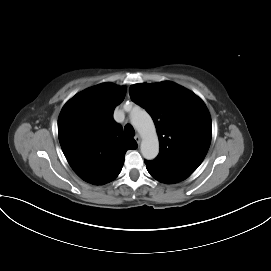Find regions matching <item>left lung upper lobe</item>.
<instances>
[{
    "mask_svg": "<svg viewBox=\"0 0 271 271\" xmlns=\"http://www.w3.org/2000/svg\"><path fill=\"white\" fill-rule=\"evenodd\" d=\"M129 92L155 122L160 142L155 160L195 171L211 142V118L204 102L170 81L132 85Z\"/></svg>",
    "mask_w": 271,
    "mask_h": 271,
    "instance_id": "left-lung-upper-lobe-1",
    "label": "left lung upper lobe"
}]
</instances>
